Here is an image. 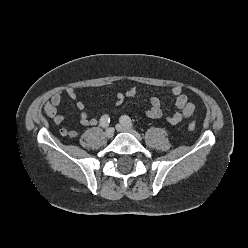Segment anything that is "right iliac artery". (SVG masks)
<instances>
[{
    "instance_id": "1",
    "label": "right iliac artery",
    "mask_w": 248,
    "mask_h": 248,
    "mask_svg": "<svg viewBox=\"0 0 248 248\" xmlns=\"http://www.w3.org/2000/svg\"><path fill=\"white\" fill-rule=\"evenodd\" d=\"M110 123V117L108 115H103L100 119V125L106 128Z\"/></svg>"
}]
</instances>
